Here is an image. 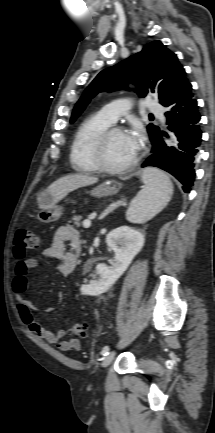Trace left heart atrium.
Segmentation results:
<instances>
[{
  "label": "left heart atrium",
  "instance_id": "1",
  "mask_svg": "<svg viewBox=\"0 0 215 433\" xmlns=\"http://www.w3.org/2000/svg\"><path fill=\"white\" fill-rule=\"evenodd\" d=\"M128 137L134 146L135 149H139L141 143H142V134L140 131L135 130L132 133L128 134Z\"/></svg>",
  "mask_w": 215,
  "mask_h": 433
}]
</instances>
